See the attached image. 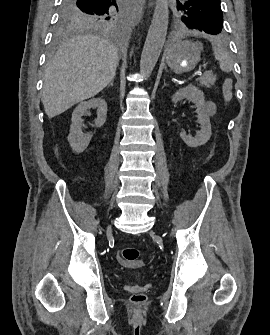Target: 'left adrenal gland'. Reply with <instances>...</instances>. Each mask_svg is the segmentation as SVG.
Masks as SVG:
<instances>
[{"mask_svg":"<svg viewBox=\"0 0 270 335\" xmlns=\"http://www.w3.org/2000/svg\"><path fill=\"white\" fill-rule=\"evenodd\" d=\"M163 82H164V84H163L162 88H165V86H167L166 80H163Z\"/></svg>","mask_w":270,"mask_h":335,"instance_id":"a2214340","label":"left adrenal gland"}]
</instances>
